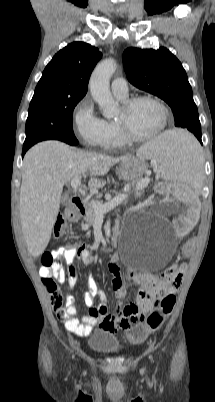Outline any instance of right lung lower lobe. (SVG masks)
Instances as JSON below:
<instances>
[{
    "instance_id": "1",
    "label": "right lung lower lobe",
    "mask_w": 215,
    "mask_h": 402,
    "mask_svg": "<svg viewBox=\"0 0 215 402\" xmlns=\"http://www.w3.org/2000/svg\"><path fill=\"white\" fill-rule=\"evenodd\" d=\"M79 143H76V144H74V145H78ZM31 146H24L23 145V151H22V157L24 156V154H25V152L30 148Z\"/></svg>"
}]
</instances>
